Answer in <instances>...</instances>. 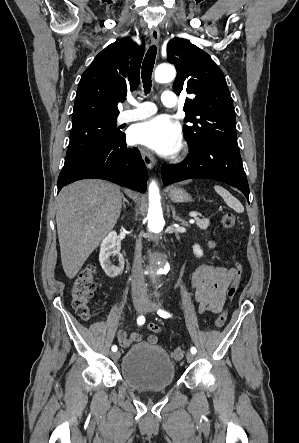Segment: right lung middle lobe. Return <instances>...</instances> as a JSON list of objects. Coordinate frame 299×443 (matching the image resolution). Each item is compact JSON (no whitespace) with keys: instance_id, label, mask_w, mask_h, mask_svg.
Segmentation results:
<instances>
[{"instance_id":"1","label":"right lung middle lobe","mask_w":299,"mask_h":443,"mask_svg":"<svg viewBox=\"0 0 299 443\" xmlns=\"http://www.w3.org/2000/svg\"><path fill=\"white\" fill-rule=\"evenodd\" d=\"M122 134L116 117H95L73 123L65 164L90 150L115 142Z\"/></svg>"}]
</instances>
